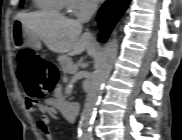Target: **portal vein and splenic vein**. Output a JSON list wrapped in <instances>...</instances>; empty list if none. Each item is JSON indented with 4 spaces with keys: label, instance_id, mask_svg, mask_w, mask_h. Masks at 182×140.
Masks as SVG:
<instances>
[{
    "label": "portal vein and splenic vein",
    "instance_id": "portal-vein-and-splenic-vein-1",
    "mask_svg": "<svg viewBox=\"0 0 182 140\" xmlns=\"http://www.w3.org/2000/svg\"><path fill=\"white\" fill-rule=\"evenodd\" d=\"M76 71H77V69L74 68L71 73L74 74V73H76Z\"/></svg>",
    "mask_w": 182,
    "mask_h": 140
}]
</instances>
